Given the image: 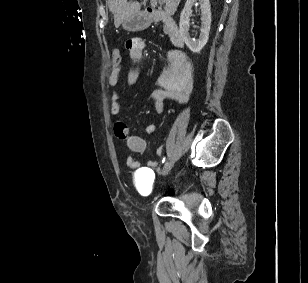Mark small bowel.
I'll use <instances>...</instances> for the list:
<instances>
[{
    "instance_id": "c3829d8e",
    "label": "small bowel",
    "mask_w": 308,
    "mask_h": 283,
    "mask_svg": "<svg viewBox=\"0 0 308 283\" xmlns=\"http://www.w3.org/2000/svg\"><path fill=\"white\" fill-rule=\"evenodd\" d=\"M145 48V42L141 38H132L126 42V49L129 52L132 60L138 61L141 59ZM121 67H114L109 75L108 84L116 86L119 80ZM140 76V70L137 68L130 69L127 75L129 85H135ZM160 88L154 90L151 94L155 101V111L160 114L166 101L172 100L177 102H186L193 90L192 68L189 60L185 55L177 51L168 53L167 66L162 72L159 79ZM121 111V97L117 92L111 94L110 112L117 116ZM157 130V126L151 124L147 127V132L152 134ZM114 133L117 138L126 142L128 148L135 153H142L146 149V140L130 133L128 126L121 120H117L114 124ZM163 147L157 149V154L161 155ZM126 164L130 168H136L139 163L132 157H129ZM148 165L155 167L157 162L149 160Z\"/></svg>"
}]
</instances>
